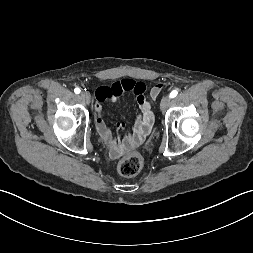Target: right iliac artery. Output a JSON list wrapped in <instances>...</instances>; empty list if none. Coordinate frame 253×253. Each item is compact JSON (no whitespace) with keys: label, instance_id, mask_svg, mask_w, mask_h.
I'll return each instance as SVG.
<instances>
[{"label":"right iliac artery","instance_id":"82829eb1","mask_svg":"<svg viewBox=\"0 0 253 253\" xmlns=\"http://www.w3.org/2000/svg\"><path fill=\"white\" fill-rule=\"evenodd\" d=\"M74 92H75L76 94H79V93H80V89H79V88H75V89H74Z\"/></svg>","mask_w":253,"mask_h":253}]
</instances>
